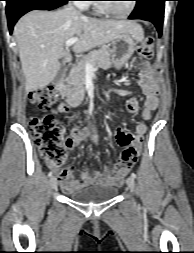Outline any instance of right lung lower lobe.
<instances>
[{
	"label": "right lung lower lobe",
	"mask_w": 194,
	"mask_h": 253,
	"mask_svg": "<svg viewBox=\"0 0 194 253\" xmlns=\"http://www.w3.org/2000/svg\"><path fill=\"white\" fill-rule=\"evenodd\" d=\"M6 13L9 31L12 33L17 20L25 13L39 9L52 10L65 4L68 0H6Z\"/></svg>",
	"instance_id": "right-lung-lower-lobe-1"
}]
</instances>
